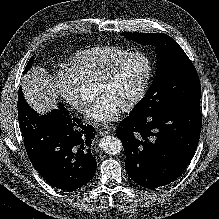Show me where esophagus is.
<instances>
[{
    "label": "esophagus",
    "mask_w": 219,
    "mask_h": 219,
    "mask_svg": "<svg viewBox=\"0 0 219 219\" xmlns=\"http://www.w3.org/2000/svg\"><path fill=\"white\" fill-rule=\"evenodd\" d=\"M111 130H112V128H111L110 126L101 125V126L98 128V133H99L101 136H104V135L109 134Z\"/></svg>",
    "instance_id": "esophagus-1"
}]
</instances>
